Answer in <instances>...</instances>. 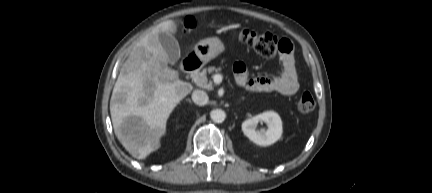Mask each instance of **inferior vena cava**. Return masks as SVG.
<instances>
[{
	"instance_id": "602c4592",
	"label": "inferior vena cava",
	"mask_w": 432,
	"mask_h": 193,
	"mask_svg": "<svg viewBox=\"0 0 432 193\" xmlns=\"http://www.w3.org/2000/svg\"><path fill=\"white\" fill-rule=\"evenodd\" d=\"M192 100L195 104L203 106L208 103L209 97L206 92L202 90H195L192 93Z\"/></svg>"
}]
</instances>
